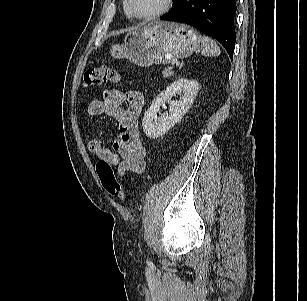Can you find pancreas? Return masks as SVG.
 <instances>
[{
  "instance_id": "cf45deb5",
  "label": "pancreas",
  "mask_w": 307,
  "mask_h": 301,
  "mask_svg": "<svg viewBox=\"0 0 307 301\" xmlns=\"http://www.w3.org/2000/svg\"><path fill=\"white\" fill-rule=\"evenodd\" d=\"M162 75L164 78H167V77H170L173 75V72L171 69H165L163 72H162Z\"/></svg>"
}]
</instances>
